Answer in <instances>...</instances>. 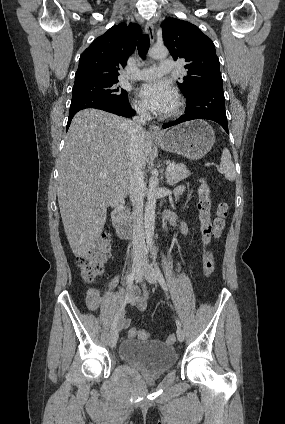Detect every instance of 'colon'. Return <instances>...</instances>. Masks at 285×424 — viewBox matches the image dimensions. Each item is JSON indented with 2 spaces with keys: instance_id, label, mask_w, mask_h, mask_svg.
I'll return each mask as SVG.
<instances>
[{
  "instance_id": "1",
  "label": "colon",
  "mask_w": 285,
  "mask_h": 424,
  "mask_svg": "<svg viewBox=\"0 0 285 424\" xmlns=\"http://www.w3.org/2000/svg\"><path fill=\"white\" fill-rule=\"evenodd\" d=\"M199 209L202 221V236L205 246L204 251V272L207 278L211 277L215 269L214 255L211 250V244L215 237H218L223 229L224 220L227 216L228 206L225 201H220L215 210L214 218L211 217V198L210 189L206 180L201 181L199 188ZM112 242L108 232H104L97 240L95 246L88 252L78 256L77 265L80 270L81 278L84 281H93L103 271L104 263L111 252ZM128 337L133 339L148 338L145 331L130 329ZM168 343L174 342V335L167 337Z\"/></svg>"
}]
</instances>
